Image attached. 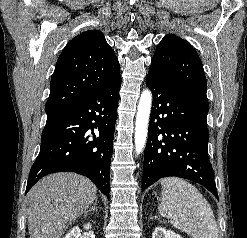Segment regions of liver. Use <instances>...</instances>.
<instances>
[{
	"label": "liver",
	"instance_id": "1",
	"mask_svg": "<svg viewBox=\"0 0 247 238\" xmlns=\"http://www.w3.org/2000/svg\"><path fill=\"white\" fill-rule=\"evenodd\" d=\"M97 189L75 173H55L43 178L29 192L30 238H61L69 223L95 201Z\"/></svg>",
	"mask_w": 247,
	"mask_h": 238
}]
</instances>
